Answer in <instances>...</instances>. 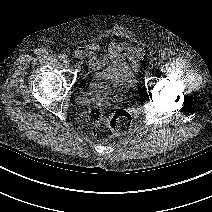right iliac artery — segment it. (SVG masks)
<instances>
[{
    "mask_svg": "<svg viewBox=\"0 0 212 212\" xmlns=\"http://www.w3.org/2000/svg\"><path fill=\"white\" fill-rule=\"evenodd\" d=\"M58 57H59V59H60L61 61H64V60H65V55H64V54H60Z\"/></svg>",
    "mask_w": 212,
    "mask_h": 212,
    "instance_id": "82829eb1",
    "label": "right iliac artery"
}]
</instances>
